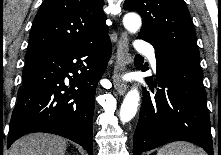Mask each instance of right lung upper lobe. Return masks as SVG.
Returning a JSON list of instances; mask_svg holds the SVG:
<instances>
[{"label": "right lung upper lobe", "mask_w": 221, "mask_h": 155, "mask_svg": "<svg viewBox=\"0 0 221 155\" xmlns=\"http://www.w3.org/2000/svg\"><path fill=\"white\" fill-rule=\"evenodd\" d=\"M103 5V0H45L33 21L28 49L81 45L106 35Z\"/></svg>", "instance_id": "obj_1"}]
</instances>
